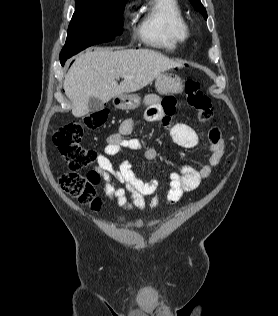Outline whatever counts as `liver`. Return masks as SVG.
Segmentation results:
<instances>
[{
	"mask_svg": "<svg viewBox=\"0 0 278 316\" xmlns=\"http://www.w3.org/2000/svg\"><path fill=\"white\" fill-rule=\"evenodd\" d=\"M176 67L182 64L148 49L112 51L98 48L75 59L65 76L63 88L72 101V114L81 117L89 113L90 97L106 103L115 96L146 87L162 72ZM119 77L123 78L120 84L117 83Z\"/></svg>",
	"mask_w": 278,
	"mask_h": 316,
	"instance_id": "liver-1",
	"label": "liver"
}]
</instances>
